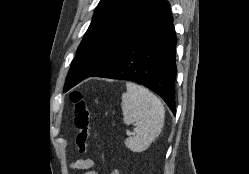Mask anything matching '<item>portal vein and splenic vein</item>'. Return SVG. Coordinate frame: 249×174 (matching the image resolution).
Instances as JSON below:
<instances>
[{"label": "portal vein and splenic vein", "mask_w": 249, "mask_h": 174, "mask_svg": "<svg viewBox=\"0 0 249 174\" xmlns=\"http://www.w3.org/2000/svg\"><path fill=\"white\" fill-rule=\"evenodd\" d=\"M127 134H128V135H131V132H130V131H127Z\"/></svg>", "instance_id": "obj_1"}]
</instances>
